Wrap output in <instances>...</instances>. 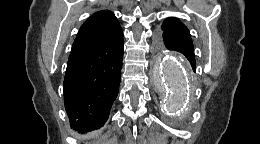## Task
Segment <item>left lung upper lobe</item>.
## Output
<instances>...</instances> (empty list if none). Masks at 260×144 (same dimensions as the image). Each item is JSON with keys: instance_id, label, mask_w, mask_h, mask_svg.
<instances>
[{"instance_id": "left-lung-upper-lobe-1", "label": "left lung upper lobe", "mask_w": 260, "mask_h": 144, "mask_svg": "<svg viewBox=\"0 0 260 144\" xmlns=\"http://www.w3.org/2000/svg\"><path fill=\"white\" fill-rule=\"evenodd\" d=\"M161 30H162L161 34L171 33V34L190 37V33H189V30L187 29V27L179 19L174 18V17L167 18L163 22V24L161 26ZM161 45L165 46L164 43H161Z\"/></svg>"}]
</instances>
